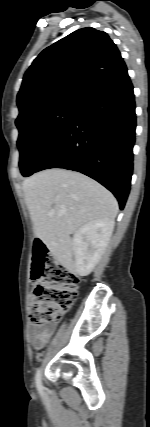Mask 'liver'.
I'll use <instances>...</instances> for the list:
<instances>
[{"instance_id":"1","label":"liver","mask_w":150,"mask_h":427,"mask_svg":"<svg viewBox=\"0 0 150 427\" xmlns=\"http://www.w3.org/2000/svg\"><path fill=\"white\" fill-rule=\"evenodd\" d=\"M34 234L66 267L72 268L70 235L89 222L114 220L118 203L111 192L71 170L47 169L24 180Z\"/></svg>"}]
</instances>
